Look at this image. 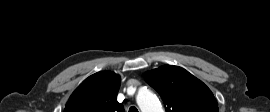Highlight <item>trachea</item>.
<instances>
[{
    "mask_svg": "<svg viewBox=\"0 0 270 112\" xmlns=\"http://www.w3.org/2000/svg\"><path fill=\"white\" fill-rule=\"evenodd\" d=\"M129 112H139L138 109L135 106H131L129 108Z\"/></svg>",
    "mask_w": 270,
    "mask_h": 112,
    "instance_id": "trachea-1",
    "label": "trachea"
}]
</instances>
